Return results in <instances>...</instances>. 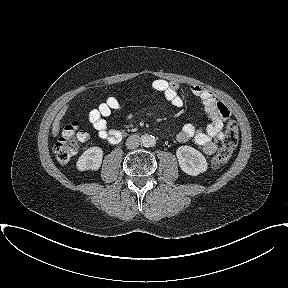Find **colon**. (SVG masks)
Wrapping results in <instances>:
<instances>
[{
  "label": "colon",
  "instance_id": "colon-1",
  "mask_svg": "<svg viewBox=\"0 0 288 288\" xmlns=\"http://www.w3.org/2000/svg\"><path fill=\"white\" fill-rule=\"evenodd\" d=\"M88 138L78 122L68 124L62 131L54 145V153L61 163L68 162L77 152L79 144ZM239 141V130L235 120H228L227 127L222 139V146L211 158V166L218 168L227 163L236 149Z\"/></svg>",
  "mask_w": 288,
  "mask_h": 288
}]
</instances>
